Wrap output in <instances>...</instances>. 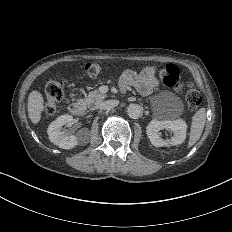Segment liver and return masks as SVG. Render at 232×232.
I'll return each instance as SVG.
<instances>
[{
    "mask_svg": "<svg viewBox=\"0 0 232 232\" xmlns=\"http://www.w3.org/2000/svg\"><path fill=\"white\" fill-rule=\"evenodd\" d=\"M42 109V98L38 92H32L28 98V113L33 122H38Z\"/></svg>",
    "mask_w": 232,
    "mask_h": 232,
    "instance_id": "6515ba94",
    "label": "liver"
}]
</instances>
